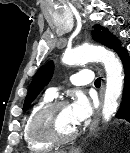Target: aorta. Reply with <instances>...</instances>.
Masks as SVG:
<instances>
[{"instance_id": "aorta-1", "label": "aorta", "mask_w": 130, "mask_h": 153, "mask_svg": "<svg viewBox=\"0 0 130 153\" xmlns=\"http://www.w3.org/2000/svg\"><path fill=\"white\" fill-rule=\"evenodd\" d=\"M90 61L103 63L106 70L107 82L102 116L105 121H109L117 110L122 92V64L113 52L100 46H81L66 52L62 58L66 65H79Z\"/></svg>"}]
</instances>
